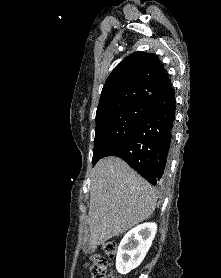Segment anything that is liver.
Segmentation results:
<instances>
[{
  "label": "liver",
  "mask_w": 221,
  "mask_h": 278,
  "mask_svg": "<svg viewBox=\"0 0 221 278\" xmlns=\"http://www.w3.org/2000/svg\"><path fill=\"white\" fill-rule=\"evenodd\" d=\"M156 201L155 189L126 162L101 159L90 182L89 251L147 220Z\"/></svg>",
  "instance_id": "liver-1"
}]
</instances>
